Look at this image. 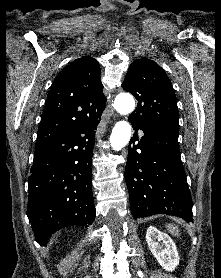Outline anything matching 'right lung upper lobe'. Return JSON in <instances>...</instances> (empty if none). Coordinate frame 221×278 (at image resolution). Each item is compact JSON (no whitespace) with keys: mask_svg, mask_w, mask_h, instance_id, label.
<instances>
[{"mask_svg":"<svg viewBox=\"0 0 221 278\" xmlns=\"http://www.w3.org/2000/svg\"><path fill=\"white\" fill-rule=\"evenodd\" d=\"M100 74L99 63L89 56L62 69L48 92L35 148L88 119L101 117L106 98Z\"/></svg>","mask_w":221,"mask_h":278,"instance_id":"obj_1","label":"right lung upper lobe"}]
</instances>
